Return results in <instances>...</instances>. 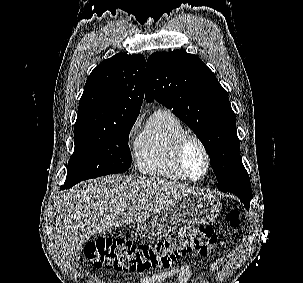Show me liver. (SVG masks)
Here are the masks:
<instances>
[{
    "label": "liver",
    "instance_id": "1",
    "mask_svg": "<svg viewBox=\"0 0 303 283\" xmlns=\"http://www.w3.org/2000/svg\"><path fill=\"white\" fill-rule=\"evenodd\" d=\"M196 192L195 187L151 177L110 175L84 182L63 193L55 235L72 258L94 234L138 223L172 200Z\"/></svg>",
    "mask_w": 303,
    "mask_h": 283
}]
</instances>
